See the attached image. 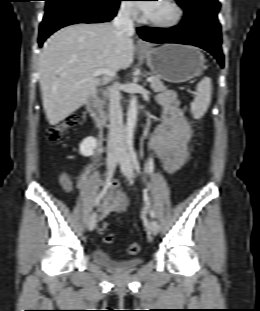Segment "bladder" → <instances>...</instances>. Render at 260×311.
Returning a JSON list of instances; mask_svg holds the SVG:
<instances>
[{"label":"bladder","instance_id":"bladder-1","mask_svg":"<svg viewBox=\"0 0 260 311\" xmlns=\"http://www.w3.org/2000/svg\"><path fill=\"white\" fill-rule=\"evenodd\" d=\"M92 260L98 265L113 272L131 271L137 269L143 262L142 258L115 260L111 254L100 248L91 251Z\"/></svg>","mask_w":260,"mask_h":311}]
</instances>
